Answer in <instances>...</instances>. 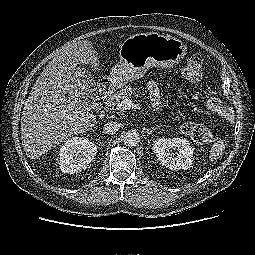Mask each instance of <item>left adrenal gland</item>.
Segmentation results:
<instances>
[{"instance_id": "obj_1", "label": "left adrenal gland", "mask_w": 255, "mask_h": 255, "mask_svg": "<svg viewBox=\"0 0 255 255\" xmlns=\"http://www.w3.org/2000/svg\"><path fill=\"white\" fill-rule=\"evenodd\" d=\"M159 126H157V127H153L151 130H148L147 129V133L148 134H152V132L155 130V129H157Z\"/></svg>"}]
</instances>
